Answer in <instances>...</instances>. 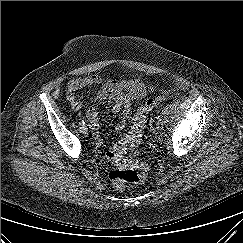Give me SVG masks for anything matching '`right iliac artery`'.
Here are the masks:
<instances>
[{"instance_id":"82829eb1","label":"right iliac artery","mask_w":243,"mask_h":243,"mask_svg":"<svg viewBox=\"0 0 243 243\" xmlns=\"http://www.w3.org/2000/svg\"><path fill=\"white\" fill-rule=\"evenodd\" d=\"M79 124H80V125H84L85 122H84L83 120H81V121L79 122Z\"/></svg>"}]
</instances>
